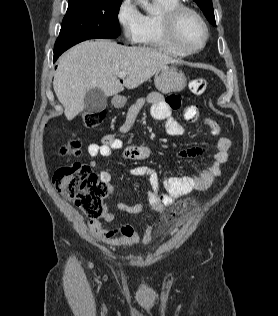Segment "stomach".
<instances>
[{"mask_svg":"<svg viewBox=\"0 0 278 316\" xmlns=\"http://www.w3.org/2000/svg\"><path fill=\"white\" fill-rule=\"evenodd\" d=\"M187 83V79L182 71L174 66L165 65L155 74V86L161 93L167 94L170 92L182 91ZM127 99L124 96H115L112 100L116 108H121L125 105Z\"/></svg>","mask_w":278,"mask_h":316,"instance_id":"1","label":"stomach"}]
</instances>
